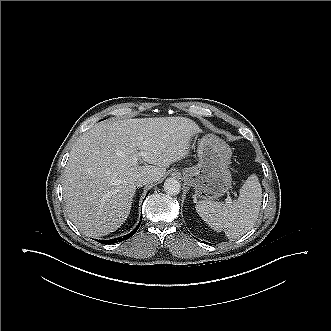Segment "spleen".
<instances>
[{
  "mask_svg": "<svg viewBox=\"0 0 331 331\" xmlns=\"http://www.w3.org/2000/svg\"><path fill=\"white\" fill-rule=\"evenodd\" d=\"M262 189L258 177L250 175L240 189L239 197L225 203L198 201L196 211L215 231L237 239L248 232L258 215Z\"/></svg>",
  "mask_w": 331,
  "mask_h": 331,
  "instance_id": "obj_1",
  "label": "spleen"
}]
</instances>
